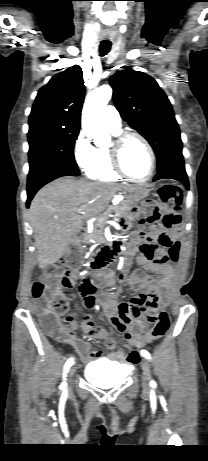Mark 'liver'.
<instances>
[{"label":"liver","mask_w":208,"mask_h":461,"mask_svg":"<svg viewBox=\"0 0 208 461\" xmlns=\"http://www.w3.org/2000/svg\"><path fill=\"white\" fill-rule=\"evenodd\" d=\"M129 189L72 177L56 179L41 188L30 205L39 268L58 262L82 229V220L100 214L116 192Z\"/></svg>","instance_id":"6515ba94"}]
</instances>
